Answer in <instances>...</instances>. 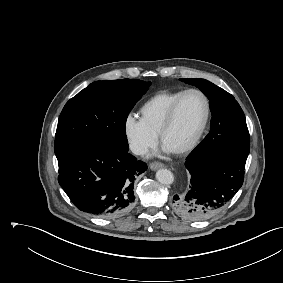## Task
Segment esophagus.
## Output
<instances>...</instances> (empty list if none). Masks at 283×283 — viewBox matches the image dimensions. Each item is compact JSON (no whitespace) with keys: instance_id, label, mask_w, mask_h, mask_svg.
<instances>
[{"instance_id":"1","label":"esophagus","mask_w":283,"mask_h":283,"mask_svg":"<svg viewBox=\"0 0 283 283\" xmlns=\"http://www.w3.org/2000/svg\"><path fill=\"white\" fill-rule=\"evenodd\" d=\"M163 167H164V164L161 163V162H152L150 164V169L153 170V171H155V170H157L159 168H163Z\"/></svg>"}]
</instances>
